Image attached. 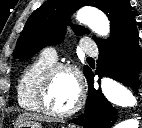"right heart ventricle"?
Returning <instances> with one entry per match:
<instances>
[{
    "mask_svg": "<svg viewBox=\"0 0 142 128\" xmlns=\"http://www.w3.org/2000/svg\"><path fill=\"white\" fill-rule=\"evenodd\" d=\"M54 64V61L40 55L24 69L17 84V100L20 107L29 111L40 110L37 100L39 83L45 71Z\"/></svg>",
    "mask_w": 142,
    "mask_h": 128,
    "instance_id": "1",
    "label": "right heart ventricle"
}]
</instances>
